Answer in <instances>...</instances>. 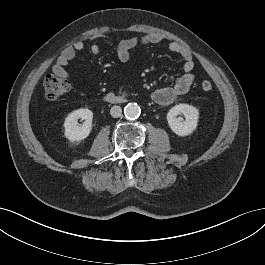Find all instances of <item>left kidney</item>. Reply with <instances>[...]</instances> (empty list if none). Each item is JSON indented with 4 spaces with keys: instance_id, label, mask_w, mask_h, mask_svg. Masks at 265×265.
I'll use <instances>...</instances> for the list:
<instances>
[{
    "instance_id": "1",
    "label": "left kidney",
    "mask_w": 265,
    "mask_h": 265,
    "mask_svg": "<svg viewBox=\"0 0 265 265\" xmlns=\"http://www.w3.org/2000/svg\"><path fill=\"white\" fill-rule=\"evenodd\" d=\"M184 115L185 120L178 117ZM199 111L188 104H179L172 107L167 114V121L171 130L178 136H187L197 127Z\"/></svg>"
}]
</instances>
